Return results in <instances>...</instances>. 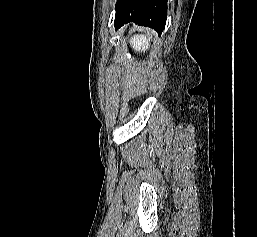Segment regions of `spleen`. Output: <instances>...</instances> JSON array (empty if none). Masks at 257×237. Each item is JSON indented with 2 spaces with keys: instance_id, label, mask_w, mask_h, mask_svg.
Masks as SVG:
<instances>
[{
  "instance_id": "spleen-1",
  "label": "spleen",
  "mask_w": 257,
  "mask_h": 237,
  "mask_svg": "<svg viewBox=\"0 0 257 237\" xmlns=\"http://www.w3.org/2000/svg\"><path fill=\"white\" fill-rule=\"evenodd\" d=\"M149 33L147 35H134L133 38H131V45L135 51H146L149 48Z\"/></svg>"
}]
</instances>
